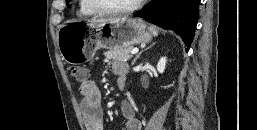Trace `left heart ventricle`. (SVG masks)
Segmentation results:
<instances>
[{"label":"left heart ventricle","instance_id":"b2bd125f","mask_svg":"<svg viewBox=\"0 0 257 130\" xmlns=\"http://www.w3.org/2000/svg\"><path fill=\"white\" fill-rule=\"evenodd\" d=\"M98 5L106 8H123L133 4L136 0H94Z\"/></svg>","mask_w":257,"mask_h":130}]
</instances>
